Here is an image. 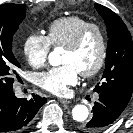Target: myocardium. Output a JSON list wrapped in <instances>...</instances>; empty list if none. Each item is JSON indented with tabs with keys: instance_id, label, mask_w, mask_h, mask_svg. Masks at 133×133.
<instances>
[{
	"instance_id": "obj_1",
	"label": "myocardium",
	"mask_w": 133,
	"mask_h": 133,
	"mask_svg": "<svg viewBox=\"0 0 133 133\" xmlns=\"http://www.w3.org/2000/svg\"><path fill=\"white\" fill-rule=\"evenodd\" d=\"M92 30L96 31L100 38V53L95 66L80 73L85 78H90L97 75L103 69L106 63L108 54V38L104 28L97 23H88L83 26L73 40L64 47L70 51L77 50L82 45L86 35Z\"/></svg>"
}]
</instances>
